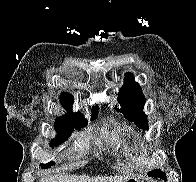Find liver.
Returning a JSON list of instances; mask_svg holds the SVG:
<instances>
[{
	"instance_id": "liver-1",
	"label": "liver",
	"mask_w": 196,
	"mask_h": 182,
	"mask_svg": "<svg viewBox=\"0 0 196 182\" xmlns=\"http://www.w3.org/2000/svg\"><path fill=\"white\" fill-rule=\"evenodd\" d=\"M128 176H110V177H92L86 175H54L48 178H42L39 182H126Z\"/></svg>"
}]
</instances>
